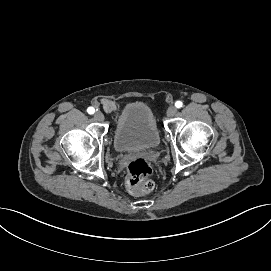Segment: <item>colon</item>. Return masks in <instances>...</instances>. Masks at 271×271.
Here are the masks:
<instances>
[{"instance_id": "5ec220e1", "label": "colon", "mask_w": 271, "mask_h": 271, "mask_svg": "<svg viewBox=\"0 0 271 271\" xmlns=\"http://www.w3.org/2000/svg\"><path fill=\"white\" fill-rule=\"evenodd\" d=\"M153 166L143 158L129 162L126 170V187L131 194L141 195L150 192L154 183L150 179Z\"/></svg>"}]
</instances>
